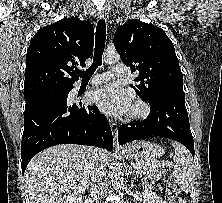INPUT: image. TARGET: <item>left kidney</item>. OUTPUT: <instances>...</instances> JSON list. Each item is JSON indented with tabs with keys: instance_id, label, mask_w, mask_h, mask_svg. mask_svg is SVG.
Returning <instances> with one entry per match:
<instances>
[{
	"instance_id": "left-kidney-1",
	"label": "left kidney",
	"mask_w": 222,
	"mask_h": 203,
	"mask_svg": "<svg viewBox=\"0 0 222 203\" xmlns=\"http://www.w3.org/2000/svg\"><path fill=\"white\" fill-rule=\"evenodd\" d=\"M143 203H164L162 198L159 197L155 192L149 191L145 188L143 191Z\"/></svg>"
}]
</instances>
